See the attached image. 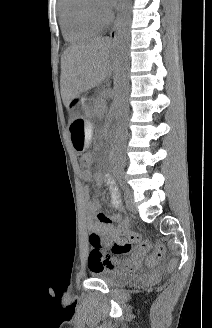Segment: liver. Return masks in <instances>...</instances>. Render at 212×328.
Listing matches in <instances>:
<instances>
[{
  "instance_id": "liver-1",
  "label": "liver",
  "mask_w": 212,
  "mask_h": 328,
  "mask_svg": "<svg viewBox=\"0 0 212 328\" xmlns=\"http://www.w3.org/2000/svg\"><path fill=\"white\" fill-rule=\"evenodd\" d=\"M111 48L109 38L96 37L65 50L61 60V95L65 105L108 77Z\"/></svg>"
}]
</instances>
